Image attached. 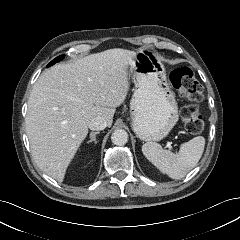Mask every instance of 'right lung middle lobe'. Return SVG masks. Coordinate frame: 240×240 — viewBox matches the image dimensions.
Segmentation results:
<instances>
[{
  "mask_svg": "<svg viewBox=\"0 0 240 240\" xmlns=\"http://www.w3.org/2000/svg\"><path fill=\"white\" fill-rule=\"evenodd\" d=\"M63 57H64V55H61V56L55 58L53 61H51V62L47 65V67L55 64L56 62H58L59 60H61Z\"/></svg>",
  "mask_w": 240,
  "mask_h": 240,
  "instance_id": "right-lung-middle-lobe-1",
  "label": "right lung middle lobe"
}]
</instances>
